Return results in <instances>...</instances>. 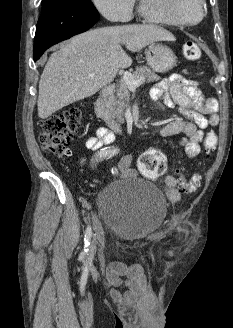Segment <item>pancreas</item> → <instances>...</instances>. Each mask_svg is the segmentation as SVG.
I'll return each mask as SVG.
<instances>
[{"label": "pancreas", "instance_id": "1", "mask_svg": "<svg viewBox=\"0 0 233 328\" xmlns=\"http://www.w3.org/2000/svg\"><path fill=\"white\" fill-rule=\"evenodd\" d=\"M131 75L135 80L143 78V83H150L161 79L160 76H158L155 72L151 71V69L146 66L137 67ZM129 100V86L123 80H121L117 85L116 94L110 95L106 101L107 109L109 110L110 115L119 123L124 122V114L126 108L129 105Z\"/></svg>", "mask_w": 233, "mask_h": 328}]
</instances>
